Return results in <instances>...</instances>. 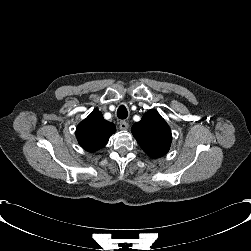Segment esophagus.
Returning a JSON list of instances; mask_svg holds the SVG:
<instances>
[{"instance_id": "1", "label": "esophagus", "mask_w": 251, "mask_h": 251, "mask_svg": "<svg viewBox=\"0 0 251 251\" xmlns=\"http://www.w3.org/2000/svg\"><path fill=\"white\" fill-rule=\"evenodd\" d=\"M128 127H129V123L127 121H124V120L120 121V129L121 130H127Z\"/></svg>"}]
</instances>
